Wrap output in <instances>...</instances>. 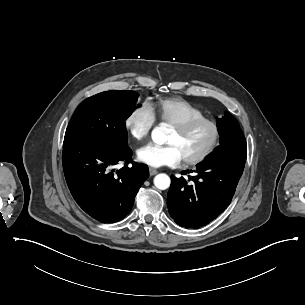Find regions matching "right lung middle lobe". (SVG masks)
Segmentation results:
<instances>
[{
    "instance_id": "dd1d6c3e",
    "label": "right lung middle lobe",
    "mask_w": 305,
    "mask_h": 305,
    "mask_svg": "<svg viewBox=\"0 0 305 305\" xmlns=\"http://www.w3.org/2000/svg\"><path fill=\"white\" fill-rule=\"evenodd\" d=\"M138 96L135 91L113 90L85 99L67 126L63 148L76 145L104 150L126 147L125 121L136 109Z\"/></svg>"
}]
</instances>
